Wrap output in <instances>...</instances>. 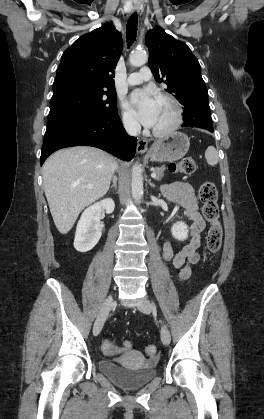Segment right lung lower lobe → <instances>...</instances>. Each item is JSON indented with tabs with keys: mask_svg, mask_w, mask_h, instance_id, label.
I'll return each mask as SVG.
<instances>
[{
	"mask_svg": "<svg viewBox=\"0 0 264 419\" xmlns=\"http://www.w3.org/2000/svg\"><path fill=\"white\" fill-rule=\"evenodd\" d=\"M94 146L124 160L133 159L137 139L126 134L119 115H68L47 127L41 165L54 151L70 146Z\"/></svg>",
	"mask_w": 264,
	"mask_h": 419,
	"instance_id": "98d812e1",
	"label": "right lung lower lobe"
}]
</instances>
